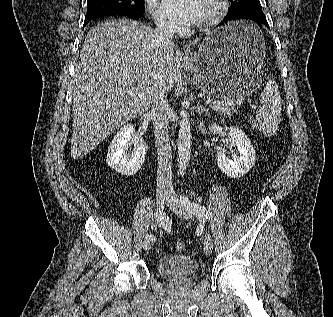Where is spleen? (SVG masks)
<instances>
[{"label": "spleen", "mask_w": 333, "mask_h": 317, "mask_svg": "<svg viewBox=\"0 0 333 317\" xmlns=\"http://www.w3.org/2000/svg\"><path fill=\"white\" fill-rule=\"evenodd\" d=\"M254 29L260 31L254 25ZM262 108L256 112L259 128L267 134H273L281 122L282 104L278 86L274 79L268 80L260 96Z\"/></svg>", "instance_id": "obj_1"}]
</instances>
